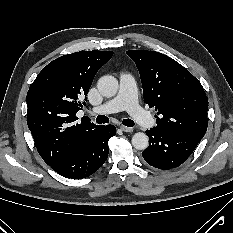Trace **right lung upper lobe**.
<instances>
[{"instance_id": "cb5924a9", "label": "right lung upper lobe", "mask_w": 233, "mask_h": 233, "mask_svg": "<svg viewBox=\"0 0 233 233\" xmlns=\"http://www.w3.org/2000/svg\"><path fill=\"white\" fill-rule=\"evenodd\" d=\"M112 51H80L61 56L38 74L27 93V125L37 151L52 166L79 151L103 126L76 123L97 71Z\"/></svg>"}]
</instances>
